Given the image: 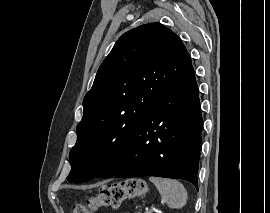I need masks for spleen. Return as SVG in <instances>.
<instances>
[{"label": "spleen", "mask_w": 270, "mask_h": 213, "mask_svg": "<svg viewBox=\"0 0 270 213\" xmlns=\"http://www.w3.org/2000/svg\"><path fill=\"white\" fill-rule=\"evenodd\" d=\"M150 181L158 189L161 198L172 209H181L187 202V191L183 184L177 180L150 177Z\"/></svg>", "instance_id": "spleen-1"}]
</instances>
